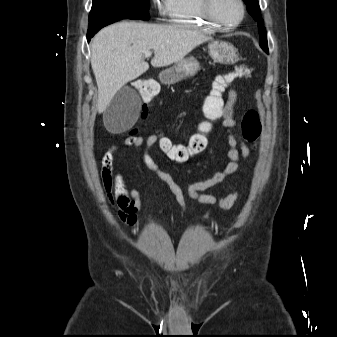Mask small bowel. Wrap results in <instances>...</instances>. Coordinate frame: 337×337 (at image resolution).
Wrapping results in <instances>:
<instances>
[{
    "mask_svg": "<svg viewBox=\"0 0 337 337\" xmlns=\"http://www.w3.org/2000/svg\"><path fill=\"white\" fill-rule=\"evenodd\" d=\"M236 101V91L231 90L225 107H222L224 113L221 116V127L227 132V142L229 145L227 156L229 162L222 171L214 173L207 179L196 181L187 188V194L191 199L202 204H216L221 210H229L234 207L239 199V192L235 191L218 198L212 194L204 193V191L222 183L226 178L234 174L238 170V162L241 157L247 159L250 156L249 147L244 142H239L231 132L236 127ZM125 144L133 149L143 147L142 161L144 165L169 187L180 206L181 213H185L186 201L182 188L176 183L170 173L160 168L151 154L152 148L156 144H159V136L152 134L144 138L142 136L131 135L126 138ZM131 160V157L127 158L128 162ZM116 166V148H111L104 154L101 160L103 190L109 204L117 209L118 219L128 226L136 227L138 225V212L141 209V195L135 187L130 185V174L120 173ZM209 216L210 212L204 215L205 218Z\"/></svg>",
    "mask_w": 337,
    "mask_h": 337,
    "instance_id": "obj_1",
    "label": "small bowel"
}]
</instances>
